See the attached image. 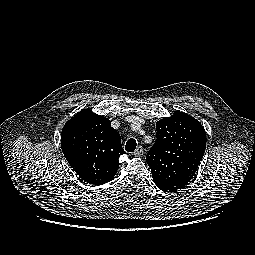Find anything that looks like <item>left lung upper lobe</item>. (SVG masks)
<instances>
[{"mask_svg": "<svg viewBox=\"0 0 255 255\" xmlns=\"http://www.w3.org/2000/svg\"><path fill=\"white\" fill-rule=\"evenodd\" d=\"M157 139L146 160L156 186L175 192L195 175L206 148L204 127L194 117L176 111L156 122Z\"/></svg>", "mask_w": 255, "mask_h": 255, "instance_id": "5c2ea615", "label": "left lung upper lobe"}]
</instances>
